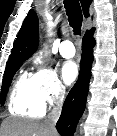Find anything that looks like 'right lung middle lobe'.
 I'll list each match as a JSON object with an SVG mask.
<instances>
[{"mask_svg": "<svg viewBox=\"0 0 117 136\" xmlns=\"http://www.w3.org/2000/svg\"><path fill=\"white\" fill-rule=\"evenodd\" d=\"M24 61L25 60H14L7 63L6 70L4 73V78H3L2 89H1V104L2 105H4L5 103L6 94L12 82L13 76L22 65V62Z\"/></svg>", "mask_w": 117, "mask_h": 136, "instance_id": "obj_1", "label": "right lung middle lobe"}]
</instances>
